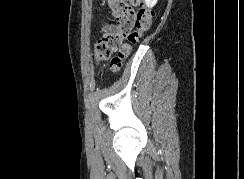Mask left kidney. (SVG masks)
Here are the masks:
<instances>
[{
  "label": "left kidney",
  "instance_id": "1",
  "mask_svg": "<svg viewBox=\"0 0 244 179\" xmlns=\"http://www.w3.org/2000/svg\"><path fill=\"white\" fill-rule=\"evenodd\" d=\"M158 0H145L147 8H153L157 4Z\"/></svg>",
  "mask_w": 244,
  "mask_h": 179
}]
</instances>
